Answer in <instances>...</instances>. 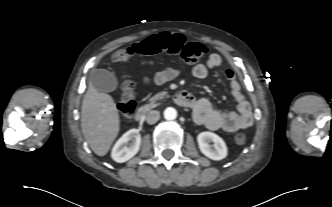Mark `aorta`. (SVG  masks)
<instances>
[{"label": "aorta", "mask_w": 332, "mask_h": 207, "mask_svg": "<svg viewBox=\"0 0 332 207\" xmlns=\"http://www.w3.org/2000/svg\"><path fill=\"white\" fill-rule=\"evenodd\" d=\"M177 117L176 109L168 107L164 110V118L166 120H174Z\"/></svg>", "instance_id": "obj_1"}]
</instances>
